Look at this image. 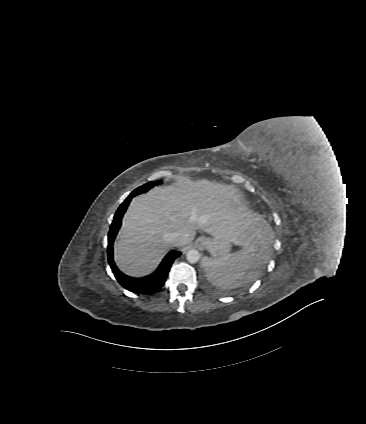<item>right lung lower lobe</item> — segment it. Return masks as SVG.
<instances>
[{"label": "right lung lower lobe", "mask_w": 366, "mask_h": 424, "mask_svg": "<svg viewBox=\"0 0 366 424\" xmlns=\"http://www.w3.org/2000/svg\"><path fill=\"white\" fill-rule=\"evenodd\" d=\"M134 196L135 193H131L116 211L108 234V261L116 279L124 288L136 293L152 294L163 286L172 263L181 253L175 251L168 253L159 268L152 275L145 278H132L118 270L113 260V242L121 226V219Z\"/></svg>", "instance_id": "98d812e1"}]
</instances>
